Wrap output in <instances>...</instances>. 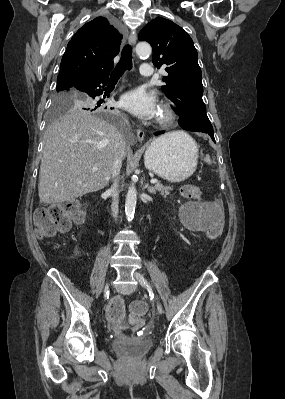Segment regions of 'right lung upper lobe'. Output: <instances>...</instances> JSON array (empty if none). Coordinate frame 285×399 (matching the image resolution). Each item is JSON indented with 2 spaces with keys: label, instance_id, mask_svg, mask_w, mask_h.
<instances>
[{
  "label": "right lung upper lobe",
  "instance_id": "cb5924a9",
  "mask_svg": "<svg viewBox=\"0 0 285 399\" xmlns=\"http://www.w3.org/2000/svg\"><path fill=\"white\" fill-rule=\"evenodd\" d=\"M122 35L104 17L82 26L67 45L57 77V88H74L87 76L109 75L119 53Z\"/></svg>",
  "mask_w": 285,
  "mask_h": 399
}]
</instances>
